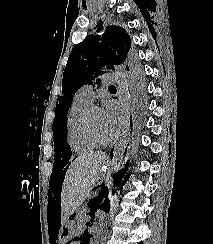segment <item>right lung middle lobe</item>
<instances>
[{
	"mask_svg": "<svg viewBox=\"0 0 213 244\" xmlns=\"http://www.w3.org/2000/svg\"><path fill=\"white\" fill-rule=\"evenodd\" d=\"M54 148H55V151H56V145L54 144ZM68 150H69V147H68ZM62 152H66V150H65V147H63L62 148ZM62 156H63V154H62ZM55 158V157H54ZM64 160H62V162H63ZM60 162H61V160H60ZM59 167V162H57V160H56V158H55V162H54V164H53V171H56L57 170V168ZM53 173V172H52Z\"/></svg>",
	"mask_w": 213,
	"mask_h": 244,
	"instance_id": "dd1d6c3e",
	"label": "right lung middle lobe"
}]
</instances>
